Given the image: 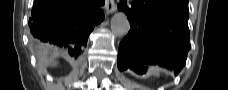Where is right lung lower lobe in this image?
Listing matches in <instances>:
<instances>
[{
  "mask_svg": "<svg viewBox=\"0 0 228 90\" xmlns=\"http://www.w3.org/2000/svg\"><path fill=\"white\" fill-rule=\"evenodd\" d=\"M105 0H34L29 18L33 38L68 50L75 58L83 54L94 26L104 19Z\"/></svg>",
  "mask_w": 228,
  "mask_h": 90,
  "instance_id": "obj_1",
  "label": "right lung lower lobe"
}]
</instances>
